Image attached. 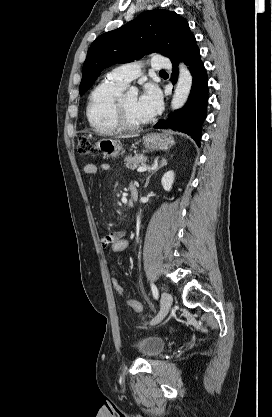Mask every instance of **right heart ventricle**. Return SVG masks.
Masks as SVG:
<instances>
[{
    "mask_svg": "<svg viewBox=\"0 0 272 417\" xmlns=\"http://www.w3.org/2000/svg\"><path fill=\"white\" fill-rule=\"evenodd\" d=\"M125 87L107 76L91 91L86 115L90 126L98 134L108 136L119 131L114 119V109Z\"/></svg>",
    "mask_w": 272,
    "mask_h": 417,
    "instance_id": "obj_1",
    "label": "right heart ventricle"
}]
</instances>
